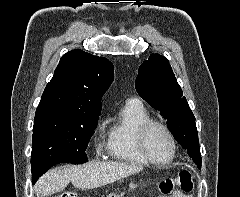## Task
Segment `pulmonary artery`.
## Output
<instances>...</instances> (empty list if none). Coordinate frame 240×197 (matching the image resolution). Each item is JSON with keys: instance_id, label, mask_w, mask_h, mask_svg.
<instances>
[{"instance_id": "pulmonary-artery-1", "label": "pulmonary artery", "mask_w": 240, "mask_h": 197, "mask_svg": "<svg viewBox=\"0 0 240 197\" xmlns=\"http://www.w3.org/2000/svg\"><path fill=\"white\" fill-rule=\"evenodd\" d=\"M127 102H140L138 98H130Z\"/></svg>"}]
</instances>
